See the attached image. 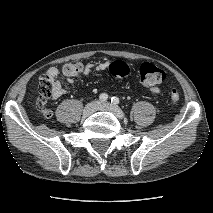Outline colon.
Here are the masks:
<instances>
[{"label":"colon","mask_w":213,"mask_h":213,"mask_svg":"<svg viewBox=\"0 0 213 213\" xmlns=\"http://www.w3.org/2000/svg\"><path fill=\"white\" fill-rule=\"evenodd\" d=\"M84 70V65L77 61H70L62 66V73L68 78H77L83 74ZM110 71L115 77L124 79L130 74V67L126 62L115 61L111 63ZM139 77L143 85L155 87L164 82L166 74L158 66L145 62L142 63L139 68ZM49 97L50 91L48 84L42 79L37 95V109L39 114L44 118H49L51 116V110L46 105ZM170 98L172 102H178L180 99L179 91L177 89H172L170 92Z\"/></svg>","instance_id":"colon-1"}]
</instances>
